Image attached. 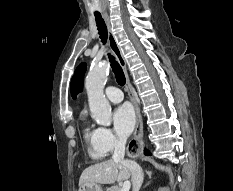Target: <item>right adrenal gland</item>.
Listing matches in <instances>:
<instances>
[{"label": "right adrenal gland", "mask_w": 233, "mask_h": 191, "mask_svg": "<svg viewBox=\"0 0 233 191\" xmlns=\"http://www.w3.org/2000/svg\"><path fill=\"white\" fill-rule=\"evenodd\" d=\"M146 174L148 175V177H149L150 179L152 178V172H151V171L146 170Z\"/></svg>", "instance_id": "right-adrenal-gland-1"}]
</instances>
